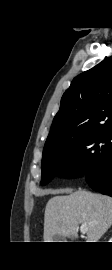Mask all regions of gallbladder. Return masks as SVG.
<instances>
[{
    "mask_svg": "<svg viewBox=\"0 0 112 270\" xmlns=\"http://www.w3.org/2000/svg\"><path fill=\"white\" fill-rule=\"evenodd\" d=\"M63 240H64V237L63 236H61V235H55L53 237V240L52 241H54V242H63Z\"/></svg>",
    "mask_w": 112,
    "mask_h": 270,
    "instance_id": "gallbladder-1",
    "label": "gallbladder"
}]
</instances>
